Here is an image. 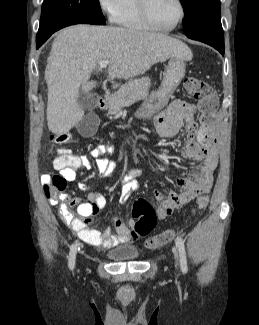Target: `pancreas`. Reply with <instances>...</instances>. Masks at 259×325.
Instances as JSON below:
<instances>
[{
    "label": "pancreas",
    "mask_w": 259,
    "mask_h": 325,
    "mask_svg": "<svg viewBox=\"0 0 259 325\" xmlns=\"http://www.w3.org/2000/svg\"><path fill=\"white\" fill-rule=\"evenodd\" d=\"M151 80L149 77H142L126 83L120 89L108 97L109 112L116 114L122 107L130 106L133 103L146 99L149 95Z\"/></svg>",
    "instance_id": "1"
}]
</instances>
